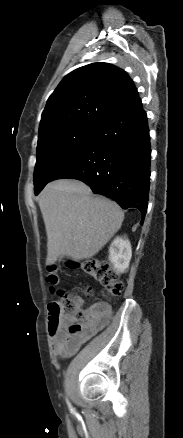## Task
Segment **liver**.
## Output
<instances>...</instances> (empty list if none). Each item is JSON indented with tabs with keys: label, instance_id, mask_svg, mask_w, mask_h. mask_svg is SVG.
<instances>
[{
	"label": "liver",
	"instance_id": "obj_1",
	"mask_svg": "<svg viewBox=\"0 0 183 438\" xmlns=\"http://www.w3.org/2000/svg\"><path fill=\"white\" fill-rule=\"evenodd\" d=\"M47 234L46 265L59 257L74 261L96 255L121 228L124 212L107 198L93 196L83 182L60 179L39 196Z\"/></svg>",
	"mask_w": 183,
	"mask_h": 438
}]
</instances>
